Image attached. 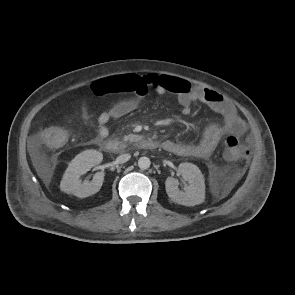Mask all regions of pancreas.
<instances>
[{
	"mask_svg": "<svg viewBox=\"0 0 295 295\" xmlns=\"http://www.w3.org/2000/svg\"><path fill=\"white\" fill-rule=\"evenodd\" d=\"M136 138L135 135H125L122 139L124 142L132 141Z\"/></svg>",
	"mask_w": 295,
	"mask_h": 295,
	"instance_id": "cf45deb5",
	"label": "pancreas"
}]
</instances>
